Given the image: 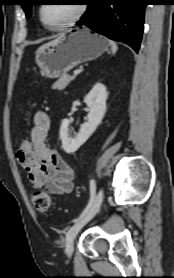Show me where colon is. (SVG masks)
Here are the masks:
<instances>
[{
	"instance_id": "1",
	"label": "colon",
	"mask_w": 174,
	"mask_h": 278,
	"mask_svg": "<svg viewBox=\"0 0 174 278\" xmlns=\"http://www.w3.org/2000/svg\"><path fill=\"white\" fill-rule=\"evenodd\" d=\"M32 149L31 138L22 139L19 142L18 151L19 153H26ZM31 201L34 208L40 213H46L50 207L51 199L49 195L44 191H34L31 194Z\"/></svg>"
}]
</instances>
